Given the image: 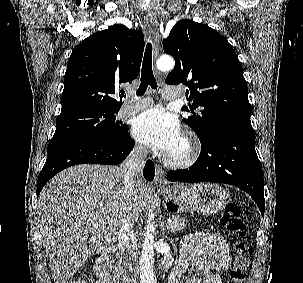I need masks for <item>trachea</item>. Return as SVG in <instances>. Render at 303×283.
Segmentation results:
<instances>
[{
  "mask_svg": "<svg viewBox=\"0 0 303 283\" xmlns=\"http://www.w3.org/2000/svg\"><path fill=\"white\" fill-rule=\"evenodd\" d=\"M140 86L137 90V96H142L146 90L147 87L150 85L153 89H157V83L155 80V77L153 75L152 70V45L151 43H148L146 46L144 58H143V64H142V70H141V79H140Z\"/></svg>",
  "mask_w": 303,
  "mask_h": 283,
  "instance_id": "3493384b",
  "label": "trachea"
}]
</instances>
